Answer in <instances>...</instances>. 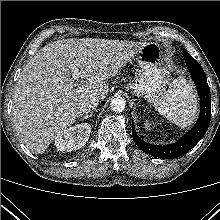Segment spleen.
<instances>
[{"label": "spleen", "instance_id": "3e777b00", "mask_svg": "<svg viewBox=\"0 0 220 220\" xmlns=\"http://www.w3.org/2000/svg\"><path fill=\"white\" fill-rule=\"evenodd\" d=\"M197 101L193 86L180 76L167 92L154 100V108L178 127L186 128L197 116Z\"/></svg>", "mask_w": 220, "mask_h": 220}]
</instances>
